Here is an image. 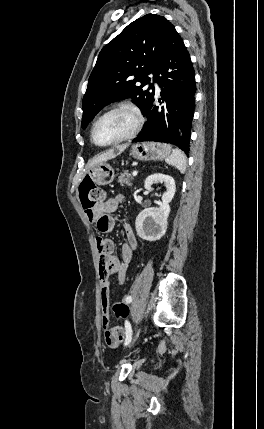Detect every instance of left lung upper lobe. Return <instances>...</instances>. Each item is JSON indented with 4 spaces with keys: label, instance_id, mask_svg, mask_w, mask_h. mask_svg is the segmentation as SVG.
<instances>
[{
    "label": "left lung upper lobe",
    "instance_id": "5c2ea615",
    "mask_svg": "<svg viewBox=\"0 0 264 429\" xmlns=\"http://www.w3.org/2000/svg\"><path fill=\"white\" fill-rule=\"evenodd\" d=\"M173 28L163 16L147 14L101 50L82 102L83 129L104 106L119 99L132 98L144 110L153 90L148 75L154 73Z\"/></svg>",
    "mask_w": 264,
    "mask_h": 429
}]
</instances>
